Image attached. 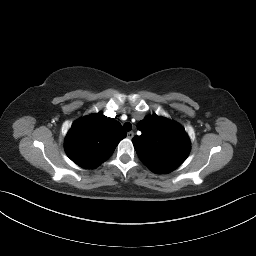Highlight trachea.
<instances>
[{"mask_svg":"<svg viewBox=\"0 0 256 256\" xmlns=\"http://www.w3.org/2000/svg\"><path fill=\"white\" fill-rule=\"evenodd\" d=\"M124 129H125L126 131H130V130L132 129V124L129 123V122H126V123L124 124Z\"/></svg>","mask_w":256,"mask_h":256,"instance_id":"trachea-1","label":"trachea"}]
</instances>
